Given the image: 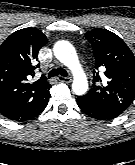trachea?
I'll list each match as a JSON object with an SVG mask.
<instances>
[{"label": "trachea", "mask_w": 135, "mask_h": 165, "mask_svg": "<svg viewBox=\"0 0 135 165\" xmlns=\"http://www.w3.org/2000/svg\"><path fill=\"white\" fill-rule=\"evenodd\" d=\"M58 75H61L63 77H67L68 76V73L65 69L63 68H57V69H52L49 73H48V78H51V77H55V76H58Z\"/></svg>", "instance_id": "1"}]
</instances>
